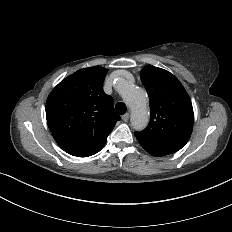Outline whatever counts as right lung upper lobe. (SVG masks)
Masks as SVG:
<instances>
[{
  "label": "right lung upper lobe",
  "mask_w": 232,
  "mask_h": 232,
  "mask_svg": "<svg viewBox=\"0 0 232 232\" xmlns=\"http://www.w3.org/2000/svg\"><path fill=\"white\" fill-rule=\"evenodd\" d=\"M107 72L100 66L80 69L48 96V127L58 145L70 155L88 157L99 152L120 120L112 97L103 91Z\"/></svg>",
  "instance_id": "cb5924a9"
}]
</instances>
